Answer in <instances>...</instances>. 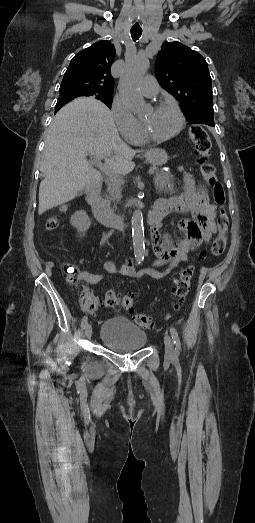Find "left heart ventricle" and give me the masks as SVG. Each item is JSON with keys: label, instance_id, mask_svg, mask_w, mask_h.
I'll list each match as a JSON object with an SVG mask.
<instances>
[{"label": "left heart ventricle", "instance_id": "1", "mask_svg": "<svg viewBox=\"0 0 255 523\" xmlns=\"http://www.w3.org/2000/svg\"><path fill=\"white\" fill-rule=\"evenodd\" d=\"M140 119L148 133L157 137L171 134L179 123L177 113L170 106H163L157 110L151 108Z\"/></svg>", "mask_w": 255, "mask_h": 523}]
</instances>
